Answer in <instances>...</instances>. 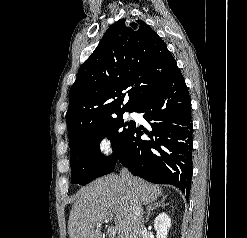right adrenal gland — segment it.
<instances>
[{"label": "right adrenal gland", "mask_w": 247, "mask_h": 238, "mask_svg": "<svg viewBox=\"0 0 247 238\" xmlns=\"http://www.w3.org/2000/svg\"><path fill=\"white\" fill-rule=\"evenodd\" d=\"M164 200H165V197H163V199L161 201H158L156 203H153V204H150L146 207V211H147V215H146V222L149 221V216H150V213L151 211H153L154 209H157L159 207H164Z\"/></svg>", "instance_id": "2a0ac1e0"}]
</instances>
